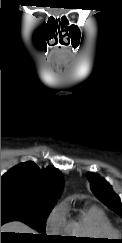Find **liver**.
Returning <instances> with one entry per match:
<instances>
[{
  "instance_id": "obj_1",
  "label": "liver",
  "mask_w": 122,
  "mask_h": 243,
  "mask_svg": "<svg viewBox=\"0 0 122 243\" xmlns=\"http://www.w3.org/2000/svg\"><path fill=\"white\" fill-rule=\"evenodd\" d=\"M1 232H16V233H29V234H35V231L32 230L27 225L14 221L6 223L1 227Z\"/></svg>"
}]
</instances>
